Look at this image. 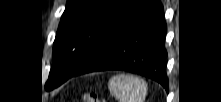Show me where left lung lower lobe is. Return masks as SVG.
I'll list each match as a JSON object with an SVG mask.
<instances>
[{
    "instance_id": "1",
    "label": "left lung lower lobe",
    "mask_w": 221,
    "mask_h": 102,
    "mask_svg": "<svg viewBox=\"0 0 221 102\" xmlns=\"http://www.w3.org/2000/svg\"><path fill=\"white\" fill-rule=\"evenodd\" d=\"M166 21L159 0H136L72 75L125 70L149 77L168 91Z\"/></svg>"
}]
</instances>
